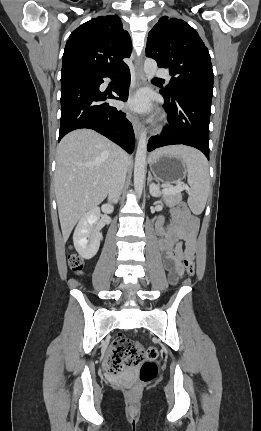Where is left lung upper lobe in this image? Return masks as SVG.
Returning a JSON list of instances; mask_svg holds the SVG:
<instances>
[{
    "instance_id": "obj_1",
    "label": "left lung upper lobe",
    "mask_w": 261,
    "mask_h": 431,
    "mask_svg": "<svg viewBox=\"0 0 261 431\" xmlns=\"http://www.w3.org/2000/svg\"><path fill=\"white\" fill-rule=\"evenodd\" d=\"M146 53L172 76L164 92L182 88L213 91V71L207 47L185 21L163 16L148 34Z\"/></svg>"
}]
</instances>
